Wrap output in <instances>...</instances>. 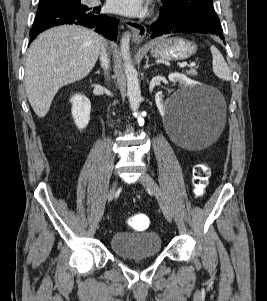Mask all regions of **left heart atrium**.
I'll use <instances>...</instances> for the list:
<instances>
[{
  "label": "left heart atrium",
  "mask_w": 267,
  "mask_h": 301,
  "mask_svg": "<svg viewBox=\"0 0 267 301\" xmlns=\"http://www.w3.org/2000/svg\"><path fill=\"white\" fill-rule=\"evenodd\" d=\"M144 7V0H108V8L119 14L136 16Z\"/></svg>",
  "instance_id": "1"
}]
</instances>
